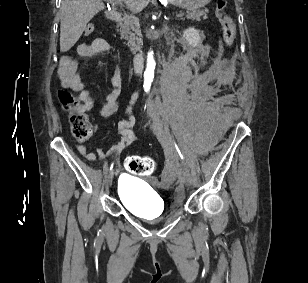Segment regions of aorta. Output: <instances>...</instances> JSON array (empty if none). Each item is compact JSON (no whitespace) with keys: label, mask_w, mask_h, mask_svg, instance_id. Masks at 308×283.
<instances>
[{"label":"aorta","mask_w":308,"mask_h":283,"mask_svg":"<svg viewBox=\"0 0 308 283\" xmlns=\"http://www.w3.org/2000/svg\"><path fill=\"white\" fill-rule=\"evenodd\" d=\"M155 60L153 58V53L150 52L148 54V58H147V67L146 70L144 72V85L145 87H150L153 78H154V70H155Z\"/></svg>","instance_id":"1"}]
</instances>
